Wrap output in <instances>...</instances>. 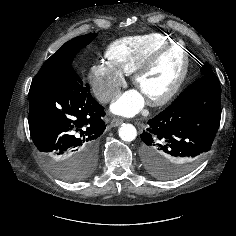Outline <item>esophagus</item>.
<instances>
[{
  "label": "esophagus",
  "instance_id": "1",
  "mask_svg": "<svg viewBox=\"0 0 236 236\" xmlns=\"http://www.w3.org/2000/svg\"><path fill=\"white\" fill-rule=\"evenodd\" d=\"M122 122H123L122 119L114 118V119L111 120L110 124H111L112 127H116V126H119Z\"/></svg>",
  "mask_w": 236,
  "mask_h": 236
}]
</instances>
